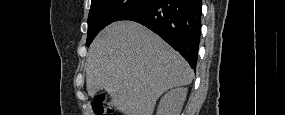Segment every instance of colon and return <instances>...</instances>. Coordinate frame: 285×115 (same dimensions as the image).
<instances>
[{"label":"colon","mask_w":285,"mask_h":115,"mask_svg":"<svg viewBox=\"0 0 285 115\" xmlns=\"http://www.w3.org/2000/svg\"><path fill=\"white\" fill-rule=\"evenodd\" d=\"M93 109L97 115H111L112 111L104 106L102 97H99L93 102Z\"/></svg>","instance_id":"obj_1"}]
</instances>
